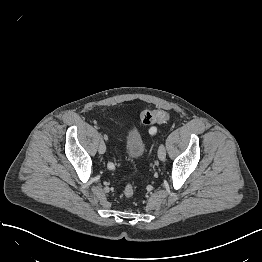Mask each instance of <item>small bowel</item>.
<instances>
[{
  "instance_id": "c3829d8e",
  "label": "small bowel",
  "mask_w": 262,
  "mask_h": 262,
  "mask_svg": "<svg viewBox=\"0 0 262 262\" xmlns=\"http://www.w3.org/2000/svg\"><path fill=\"white\" fill-rule=\"evenodd\" d=\"M154 133H155V132H152V131H151V134H154Z\"/></svg>"
}]
</instances>
